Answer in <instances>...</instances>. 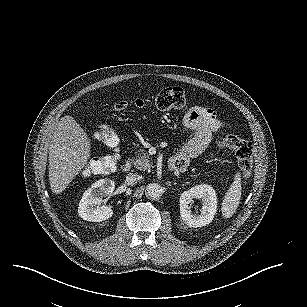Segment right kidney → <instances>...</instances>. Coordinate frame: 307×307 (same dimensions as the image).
<instances>
[{
    "instance_id": "ca27d5eb",
    "label": "right kidney",
    "mask_w": 307,
    "mask_h": 307,
    "mask_svg": "<svg viewBox=\"0 0 307 307\" xmlns=\"http://www.w3.org/2000/svg\"><path fill=\"white\" fill-rule=\"evenodd\" d=\"M115 189V181L110 178L99 179L94 182L82 195L78 204V215L90 222H102L112 216V209L108 206L93 208L101 202L102 194L109 195Z\"/></svg>"
}]
</instances>
